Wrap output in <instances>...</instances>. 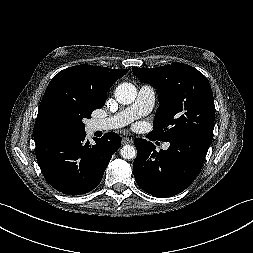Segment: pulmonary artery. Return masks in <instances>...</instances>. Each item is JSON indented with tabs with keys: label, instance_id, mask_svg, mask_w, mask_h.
<instances>
[{
	"label": "pulmonary artery",
	"instance_id": "pulmonary-artery-1",
	"mask_svg": "<svg viewBox=\"0 0 253 253\" xmlns=\"http://www.w3.org/2000/svg\"><path fill=\"white\" fill-rule=\"evenodd\" d=\"M155 104V91L150 85H142L138 91L136 100L126 109L121 112L100 120L92 122V129L98 130H113L124 127L135 119L149 114ZM169 144L162 145L164 150L168 149Z\"/></svg>",
	"mask_w": 253,
	"mask_h": 253
}]
</instances>
